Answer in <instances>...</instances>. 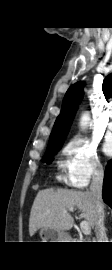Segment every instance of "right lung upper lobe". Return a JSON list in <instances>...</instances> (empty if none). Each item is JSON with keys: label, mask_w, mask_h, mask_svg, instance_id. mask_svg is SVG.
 Instances as JSON below:
<instances>
[{"label": "right lung upper lobe", "mask_w": 112, "mask_h": 270, "mask_svg": "<svg viewBox=\"0 0 112 270\" xmlns=\"http://www.w3.org/2000/svg\"><path fill=\"white\" fill-rule=\"evenodd\" d=\"M83 85V82L75 83L66 92L63 99L60 115L55 121L48 144L64 141L66 135L68 134L78 105L82 100ZM102 90L106 97H112V73L108 75L103 81Z\"/></svg>", "instance_id": "1"}]
</instances>
